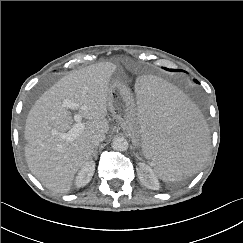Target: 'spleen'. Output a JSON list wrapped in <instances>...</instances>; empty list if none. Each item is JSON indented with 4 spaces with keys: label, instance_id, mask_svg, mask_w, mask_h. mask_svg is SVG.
<instances>
[{
    "label": "spleen",
    "instance_id": "1",
    "mask_svg": "<svg viewBox=\"0 0 243 243\" xmlns=\"http://www.w3.org/2000/svg\"><path fill=\"white\" fill-rule=\"evenodd\" d=\"M133 94L139 115L135 146L141 160L164 182L195 173L208 150V129L188 94L154 73L141 75Z\"/></svg>",
    "mask_w": 243,
    "mask_h": 243
}]
</instances>
